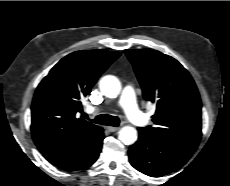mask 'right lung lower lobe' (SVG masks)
Masks as SVG:
<instances>
[{"instance_id": "obj_1", "label": "right lung lower lobe", "mask_w": 230, "mask_h": 186, "mask_svg": "<svg viewBox=\"0 0 230 186\" xmlns=\"http://www.w3.org/2000/svg\"><path fill=\"white\" fill-rule=\"evenodd\" d=\"M104 139L103 130L98 138L94 140L76 159L60 167L66 171L80 170L91 166L98 158Z\"/></svg>"}]
</instances>
